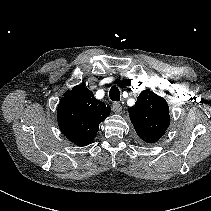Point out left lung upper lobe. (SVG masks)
<instances>
[{"mask_svg": "<svg viewBox=\"0 0 211 211\" xmlns=\"http://www.w3.org/2000/svg\"><path fill=\"white\" fill-rule=\"evenodd\" d=\"M129 116L138 136L147 143L159 140L170 124L167 102L150 90L140 93Z\"/></svg>", "mask_w": 211, "mask_h": 211, "instance_id": "5c2ea615", "label": "left lung upper lobe"}]
</instances>
